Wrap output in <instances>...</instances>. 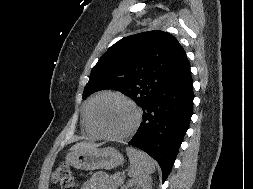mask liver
<instances>
[{
    "label": "liver",
    "instance_id": "1",
    "mask_svg": "<svg viewBox=\"0 0 253 189\" xmlns=\"http://www.w3.org/2000/svg\"><path fill=\"white\" fill-rule=\"evenodd\" d=\"M99 145L95 143L90 142H78L75 145L71 147L72 152L84 150V149H90V148H97Z\"/></svg>",
    "mask_w": 253,
    "mask_h": 189
}]
</instances>
